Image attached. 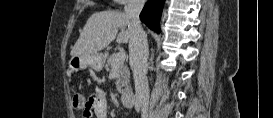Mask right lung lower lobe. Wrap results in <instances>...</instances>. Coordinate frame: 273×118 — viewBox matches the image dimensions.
Returning <instances> with one entry per match:
<instances>
[{"label":"right lung lower lobe","mask_w":273,"mask_h":118,"mask_svg":"<svg viewBox=\"0 0 273 118\" xmlns=\"http://www.w3.org/2000/svg\"><path fill=\"white\" fill-rule=\"evenodd\" d=\"M164 1L148 0L140 14L141 21L157 33H160L159 20Z\"/></svg>","instance_id":"obj_1"}]
</instances>
